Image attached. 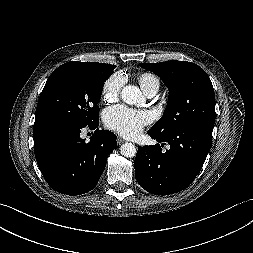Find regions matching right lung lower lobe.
<instances>
[{"label": "right lung lower lobe", "mask_w": 253, "mask_h": 253, "mask_svg": "<svg viewBox=\"0 0 253 253\" xmlns=\"http://www.w3.org/2000/svg\"><path fill=\"white\" fill-rule=\"evenodd\" d=\"M99 121L88 125L95 130L90 142L81 139L78 127L49 121L34 126V153L46 182L57 192L79 195L98 183L108 155L117 147L116 135L97 129Z\"/></svg>", "instance_id": "right-lung-lower-lobe-1"}]
</instances>
